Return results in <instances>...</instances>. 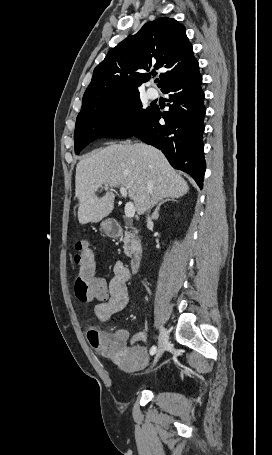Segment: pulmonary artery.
<instances>
[{"instance_id": "pulmonary-artery-1", "label": "pulmonary artery", "mask_w": 272, "mask_h": 455, "mask_svg": "<svg viewBox=\"0 0 272 455\" xmlns=\"http://www.w3.org/2000/svg\"><path fill=\"white\" fill-rule=\"evenodd\" d=\"M148 97L151 99H156L159 96V92L155 88H148L147 90Z\"/></svg>"}]
</instances>
